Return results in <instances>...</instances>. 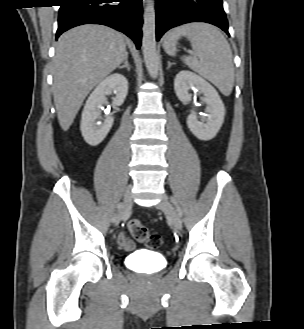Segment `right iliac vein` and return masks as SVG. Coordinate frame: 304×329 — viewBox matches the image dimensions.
Returning a JSON list of instances; mask_svg holds the SVG:
<instances>
[{
  "instance_id": "right-iliac-vein-1",
  "label": "right iliac vein",
  "mask_w": 304,
  "mask_h": 329,
  "mask_svg": "<svg viewBox=\"0 0 304 329\" xmlns=\"http://www.w3.org/2000/svg\"><path fill=\"white\" fill-rule=\"evenodd\" d=\"M132 205V193L131 187H128L123 195V205L121 210L119 211L116 221L114 222L115 225H118L120 221L127 215Z\"/></svg>"
}]
</instances>
